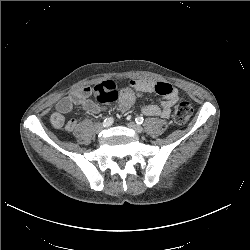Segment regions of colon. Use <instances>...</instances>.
<instances>
[{
	"mask_svg": "<svg viewBox=\"0 0 250 250\" xmlns=\"http://www.w3.org/2000/svg\"><path fill=\"white\" fill-rule=\"evenodd\" d=\"M95 99L100 103L117 102L121 111H127L135 102L136 93L132 89H119L112 81H104L94 86ZM193 109L189 102L180 99L174 110L173 119L178 125L187 123Z\"/></svg>",
	"mask_w": 250,
	"mask_h": 250,
	"instance_id": "obj_1",
	"label": "colon"
}]
</instances>
